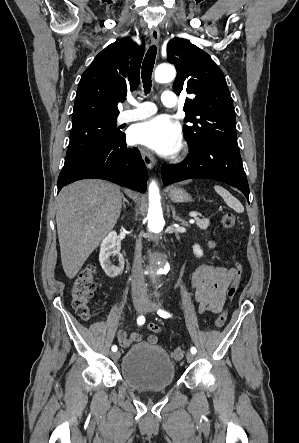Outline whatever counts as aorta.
Returning <instances> with one entry per match:
<instances>
[{
    "label": "aorta",
    "mask_w": 299,
    "mask_h": 443,
    "mask_svg": "<svg viewBox=\"0 0 299 443\" xmlns=\"http://www.w3.org/2000/svg\"><path fill=\"white\" fill-rule=\"evenodd\" d=\"M176 76V70L172 65H159L155 70V80L159 83L172 81ZM149 207H148V232L152 236H158L163 232L164 219L161 207V196L158 185L152 181L149 185Z\"/></svg>",
    "instance_id": "1"
}]
</instances>
